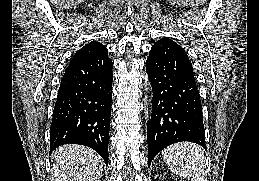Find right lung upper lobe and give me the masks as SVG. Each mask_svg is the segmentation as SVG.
<instances>
[{"instance_id":"1","label":"right lung upper lobe","mask_w":259,"mask_h":181,"mask_svg":"<svg viewBox=\"0 0 259 181\" xmlns=\"http://www.w3.org/2000/svg\"><path fill=\"white\" fill-rule=\"evenodd\" d=\"M107 49L103 44L100 42L92 41L88 43L87 45H84L81 49H79L75 55L72 57L70 64L93 58L95 56H98L104 52H106Z\"/></svg>"}]
</instances>
